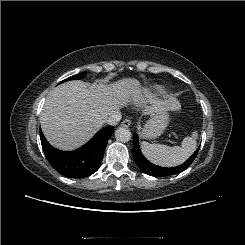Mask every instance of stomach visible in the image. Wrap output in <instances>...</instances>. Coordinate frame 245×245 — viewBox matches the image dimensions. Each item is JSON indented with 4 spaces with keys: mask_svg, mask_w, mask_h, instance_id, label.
<instances>
[{
    "mask_svg": "<svg viewBox=\"0 0 245 245\" xmlns=\"http://www.w3.org/2000/svg\"><path fill=\"white\" fill-rule=\"evenodd\" d=\"M169 123V114L167 111L155 113L144 125L141 135L146 139L159 137L166 129Z\"/></svg>",
    "mask_w": 245,
    "mask_h": 245,
    "instance_id": "0dacf381",
    "label": "stomach"
}]
</instances>
